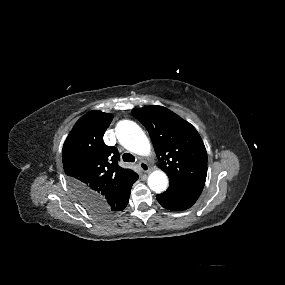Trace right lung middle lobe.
Listing matches in <instances>:
<instances>
[{"label": "right lung middle lobe", "instance_id": "obj_1", "mask_svg": "<svg viewBox=\"0 0 285 285\" xmlns=\"http://www.w3.org/2000/svg\"><path fill=\"white\" fill-rule=\"evenodd\" d=\"M90 212H92L93 214L97 215V216H108L109 214L103 210V209H99L98 207H96L95 205H84Z\"/></svg>", "mask_w": 285, "mask_h": 285}]
</instances>
